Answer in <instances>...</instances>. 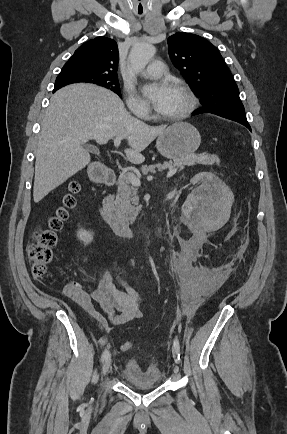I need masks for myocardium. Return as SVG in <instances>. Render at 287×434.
Returning a JSON list of instances; mask_svg holds the SVG:
<instances>
[{
  "label": "myocardium",
  "instance_id": "f54148a6",
  "mask_svg": "<svg viewBox=\"0 0 287 434\" xmlns=\"http://www.w3.org/2000/svg\"><path fill=\"white\" fill-rule=\"evenodd\" d=\"M178 88L186 97L187 104L183 111L176 115H163L160 114L159 117L165 121L177 122L186 119L195 110L197 105V98L191 88L181 81H176L173 84Z\"/></svg>",
  "mask_w": 287,
  "mask_h": 434
}]
</instances>
